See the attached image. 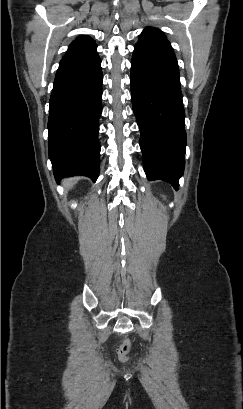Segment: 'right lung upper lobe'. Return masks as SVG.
Instances as JSON below:
<instances>
[{
    "label": "right lung upper lobe",
    "mask_w": 243,
    "mask_h": 409,
    "mask_svg": "<svg viewBox=\"0 0 243 409\" xmlns=\"http://www.w3.org/2000/svg\"><path fill=\"white\" fill-rule=\"evenodd\" d=\"M95 45V41L91 37L80 36L70 44L69 49L64 57L82 52Z\"/></svg>",
    "instance_id": "1"
}]
</instances>
